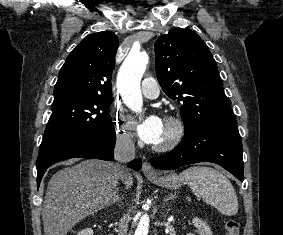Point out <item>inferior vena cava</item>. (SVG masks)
<instances>
[{
	"mask_svg": "<svg viewBox=\"0 0 283 235\" xmlns=\"http://www.w3.org/2000/svg\"><path fill=\"white\" fill-rule=\"evenodd\" d=\"M135 157V145L133 141V134L130 132H125L117 136L114 158L116 162L113 164L118 171L120 179L125 172V166L127 162L133 160ZM130 216L129 214H124L120 219L118 224V235H127L129 227Z\"/></svg>",
	"mask_w": 283,
	"mask_h": 235,
	"instance_id": "602c4592",
	"label": "inferior vena cava"
}]
</instances>
